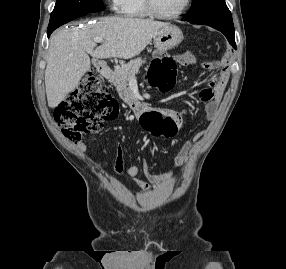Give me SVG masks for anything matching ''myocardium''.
I'll use <instances>...</instances> for the list:
<instances>
[{
    "label": "myocardium",
    "instance_id": "myocardium-1",
    "mask_svg": "<svg viewBox=\"0 0 286 269\" xmlns=\"http://www.w3.org/2000/svg\"><path fill=\"white\" fill-rule=\"evenodd\" d=\"M143 4L145 7V10L147 11L148 15L157 18V19H165V20H169V19H175L180 17L182 14L185 13V11L189 8L190 4H191V0H185L183 6L176 12L172 13V14H162L160 13L155 5H154V1L153 0H143Z\"/></svg>",
    "mask_w": 286,
    "mask_h": 269
}]
</instances>
